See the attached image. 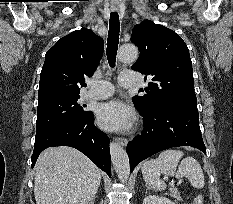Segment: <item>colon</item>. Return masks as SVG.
<instances>
[{
    "label": "colon",
    "mask_w": 233,
    "mask_h": 204,
    "mask_svg": "<svg viewBox=\"0 0 233 204\" xmlns=\"http://www.w3.org/2000/svg\"><path fill=\"white\" fill-rule=\"evenodd\" d=\"M193 204H203V198H202V196L201 195H197L194 198Z\"/></svg>",
    "instance_id": "1"
}]
</instances>
